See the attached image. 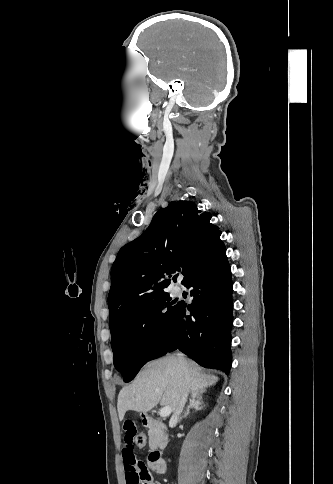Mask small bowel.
<instances>
[{"instance_id":"1","label":"small bowel","mask_w":333,"mask_h":484,"mask_svg":"<svg viewBox=\"0 0 333 484\" xmlns=\"http://www.w3.org/2000/svg\"><path fill=\"white\" fill-rule=\"evenodd\" d=\"M124 445L122 458L127 484H159L155 481L144 462L137 458L134 451V440L137 426L133 419L126 418L123 423Z\"/></svg>"}]
</instances>
